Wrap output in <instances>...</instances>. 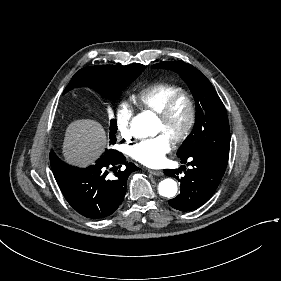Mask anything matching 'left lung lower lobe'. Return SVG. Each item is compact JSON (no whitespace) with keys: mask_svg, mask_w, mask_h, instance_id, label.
I'll use <instances>...</instances> for the list:
<instances>
[{"mask_svg":"<svg viewBox=\"0 0 281 281\" xmlns=\"http://www.w3.org/2000/svg\"><path fill=\"white\" fill-rule=\"evenodd\" d=\"M182 163L191 165L185 175L178 178L180 169H166L164 173L175 177L181 182V191L178 196L168 201L169 205L180 211H192L207 202L217 189L224 175L227 163H223L203 153H196L181 157ZM186 168L182 166L184 171Z\"/></svg>","mask_w":281,"mask_h":281,"instance_id":"obj_1","label":"left lung lower lobe"}]
</instances>
